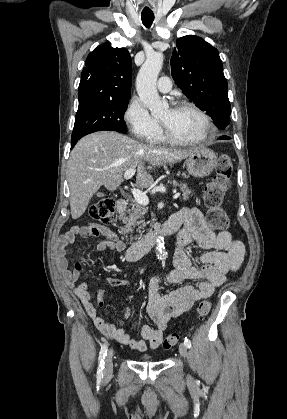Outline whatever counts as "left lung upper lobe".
<instances>
[{
	"mask_svg": "<svg viewBox=\"0 0 287 419\" xmlns=\"http://www.w3.org/2000/svg\"><path fill=\"white\" fill-rule=\"evenodd\" d=\"M171 68L172 76L183 93L205 111L219 129L226 130L231 106L218 50L201 37H181L171 57Z\"/></svg>",
	"mask_w": 287,
	"mask_h": 419,
	"instance_id": "5c2ea615",
	"label": "left lung upper lobe"
}]
</instances>
